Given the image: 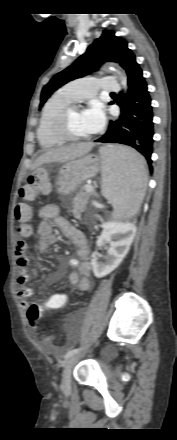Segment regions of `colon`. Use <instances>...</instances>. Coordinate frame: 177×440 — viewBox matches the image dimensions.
I'll return each mask as SVG.
<instances>
[{
  "instance_id": "colon-1",
  "label": "colon",
  "mask_w": 177,
  "mask_h": 440,
  "mask_svg": "<svg viewBox=\"0 0 177 440\" xmlns=\"http://www.w3.org/2000/svg\"><path fill=\"white\" fill-rule=\"evenodd\" d=\"M50 190L48 174L44 170H40L27 178L25 185L20 189V196L27 201H31L38 193H48ZM23 202L15 208V219L21 223L18 232L24 234L28 231L25 223L29 219V209L27 204ZM67 298H44L43 303H34L30 305L26 313V318L31 326H35L42 311H65L67 308ZM46 344H51V339H46ZM53 347L58 348L61 345L60 340H53Z\"/></svg>"
}]
</instances>
